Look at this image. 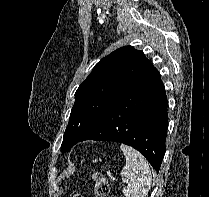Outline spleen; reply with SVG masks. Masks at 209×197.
<instances>
[{"mask_svg": "<svg viewBox=\"0 0 209 197\" xmlns=\"http://www.w3.org/2000/svg\"><path fill=\"white\" fill-rule=\"evenodd\" d=\"M126 164L121 172L126 178L123 194L126 197H146L151 188L152 176L149 164L142 154L134 148L121 144Z\"/></svg>", "mask_w": 209, "mask_h": 197, "instance_id": "spleen-1", "label": "spleen"}]
</instances>
